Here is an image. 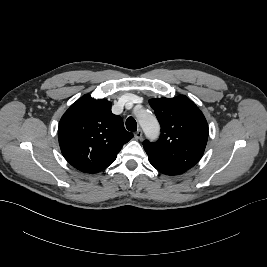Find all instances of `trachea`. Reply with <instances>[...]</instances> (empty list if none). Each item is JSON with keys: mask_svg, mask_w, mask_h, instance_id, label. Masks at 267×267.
<instances>
[{"mask_svg": "<svg viewBox=\"0 0 267 267\" xmlns=\"http://www.w3.org/2000/svg\"><path fill=\"white\" fill-rule=\"evenodd\" d=\"M126 128L127 130L132 131V132L137 130V123L133 117H129L126 120Z\"/></svg>", "mask_w": 267, "mask_h": 267, "instance_id": "1", "label": "trachea"}]
</instances>
